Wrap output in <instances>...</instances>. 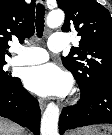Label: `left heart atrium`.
I'll use <instances>...</instances> for the list:
<instances>
[{"label": "left heart atrium", "instance_id": "1", "mask_svg": "<svg viewBox=\"0 0 112 135\" xmlns=\"http://www.w3.org/2000/svg\"><path fill=\"white\" fill-rule=\"evenodd\" d=\"M22 81L28 90L40 96H63L71 87L70 77L53 64L26 68Z\"/></svg>", "mask_w": 112, "mask_h": 135}]
</instances>
